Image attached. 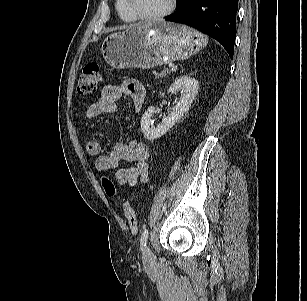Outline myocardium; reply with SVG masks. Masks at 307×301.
<instances>
[{
	"instance_id": "myocardium-1",
	"label": "myocardium",
	"mask_w": 307,
	"mask_h": 301,
	"mask_svg": "<svg viewBox=\"0 0 307 301\" xmlns=\"http://www.w3.org/2000/svg\"><path fill=\"white\" fill-rule=\"evenodd\" d=\"M127 4L136 19L142 20V21H157V20H160V19H163L169 16L175 10L177 6V0H170L169 5L165 10H163L162 12L156 13V14H152V15L142 14L136 7L134 0H127Z\"/></svg>"
}]
</instances>
